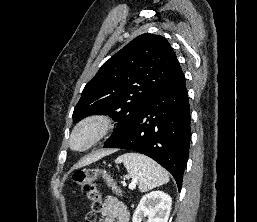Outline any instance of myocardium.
Masks as SVG:
<instances>
[{
  "label": "myocardium",
  "instance_id": "1",
  "mask_svg": "<svg viewBox=\"0 0 257 222\" xmlns=\"http://www.w3.org/2000/svg\"><path fill=\"white\" fill-rule=\"evenodd\" d=\"M85 127H92L95 130V135L92 141L83 148H76L73 145V139L76 133ZM114 128L113 118L106 113H94L82 118L72 129L69 146L72 150L77 152H84L96 146L103 140Z\"/></svg>",
  "mask_w": 257,
  "mask_h": 222
}]
</instances>
